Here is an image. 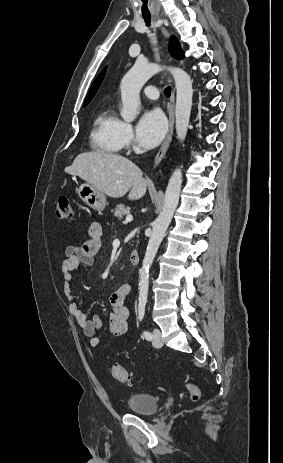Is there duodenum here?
Segmentation results:
<instances>
[{"mask_svg":"<svg viewBox=\"0 0 283 463\" xmlns=\"http://www.w3.org/2000/svg\"><path fill=\"white\" fill-rule=\"evenodd\" d=\"M130 263H131V265H133V266L138 265V263H139V253H138V251L134 250V251L130 254Z\"/></svg>","mask_w":283,"mask_h":463,"instance_id":"410a0bca","label":"duodenum"}]
</instances>
